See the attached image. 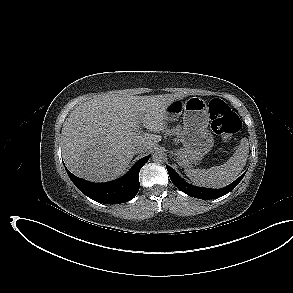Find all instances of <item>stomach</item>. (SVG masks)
Returning a JSON list of instances; mask_svg holds the SVG:
<instances>
[{
  "mask_svg": "<svg viewBox=\"0 0 293 293\" xmlns=\"http://www.w3.org/2000/svg\"><path fill=\"white\" fill-rule=\"evenodd\" d=\"M183 112V130L180 134L183 147L175 152L182 166L196 164L214 145L208 129L210 115L206 102L199 97H191L185 102L176 100L165 112L167 120L178 118Z\"/></svg>",
  "mask_w": 293,
  "mask_h": 293,
  "instance_id": "stomach-1",
  "label": "stomach"
}]
</instances>
